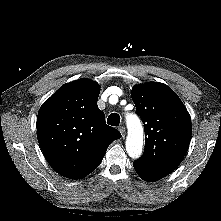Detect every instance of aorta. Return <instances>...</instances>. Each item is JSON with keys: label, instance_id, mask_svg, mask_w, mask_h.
<instances>
[{"label": "aorta", "instance_id": "obj_1", "mask_svg": "<svg viewBox=\"0 0 221 221\" xmlns=\"http://www.w3.org/2000/svg\"><path fill=\"white\" fill-rule=\"evenodd\" d=\"M128 136L126 139V150L128 155L133 158H139L143 148V128L139 118L130 114L126 118Z\"/></svg>", "mask_w": 221, "mask_h": 221}]
</instances>
